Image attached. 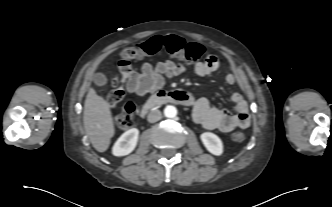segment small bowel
Returning a JSON list of instances; mask_svg holds the SVG:
<instances>
[{
    "mask_svg": "<svg viewBox=\"0 0 332 207\" xmlns=\"http://www.w3.org/2000/svg\"><path fill=\"white\" fill-rule=\"evenodd\" d=\"M219 68V59L215 55H209L202 62L194 66V73L204 77L214 73ZM186 67L179 62L167 60L155 66L144 63L140 68L129 67L127 73L123 74L122 82L126 84L128 93H135L139 96H147L149 93L161 89L166 80L185 73ZM225 82L233 85L236 82L234 74L225 76ZM234 104L233 111L213 106L207 98L201 97L194 100L193 117L201 126L222 132H230L238 128H247L250 124L248 104L239 92L231 96Z\"/></svg>",
    "mask_w": 332,
    "mask_h": 207,
    "instance_id": "small-bowel-1",
    "label": "small bowel"
}]
</instances>
